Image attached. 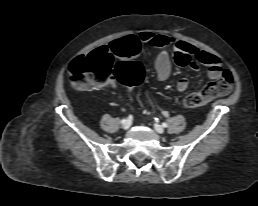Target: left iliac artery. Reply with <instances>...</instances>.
<instances>
[{
    "label": "left iliac artery",
    "instance_id": "1",
    "mask_svg": "<svg viewBox=\"0 0 258 206\" xmlns=\"http://www.w3.org/2000/svg\"><path fill=\"white\" fill-rule=\"evenodd\" d=\"M162 126H163V127H167L168 125H167L166 122H163V123H162Z\"/></svg>",
    "mask_w": 258,
    "mask_h": 206
}]
</instances>
